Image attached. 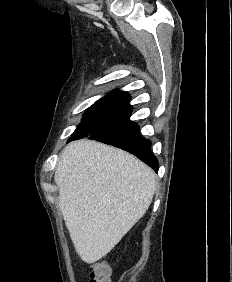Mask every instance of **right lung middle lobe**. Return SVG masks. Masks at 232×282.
<instances>
[{
    "label": "right lung middle lobe",
    "instance_id": "dd1d6c3e",
    "mask_svg": "<svg viewBox=\"0 0 232 282\" xmlns=\"http://www.w3.org/2000/svg\"><path fill=\"white\" fill-rule=\"evenodd\" d=\"M129 101L130 95L122 92H114L102 97L86 110L82 122L77 126L70 140L88 138L135 124L129 119L132 111Z\"/></svg>",
    "mask_w": 232,
    "mask_h": 282
}]
</instances>
